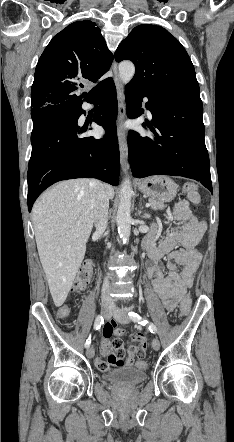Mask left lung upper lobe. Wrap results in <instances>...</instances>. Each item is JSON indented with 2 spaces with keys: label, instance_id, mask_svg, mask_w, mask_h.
I'll list each match as a JSON object with an SVG mask.
<instances>
[{
  "label": "left lung upper lobe",
  "instance_id": "1",
  "mask_svg": "<svg viewBox=\"0 0 234 442\" xmlns=\"http://www.w3.org/2000/svg\"><path fill=\"white\" fill-rule=\"evenodd\" d=\"M135 64L130 85L158 94L200 95L194 66L181 43L160 26L135 27L115 52Z\"/></svg>",
  "mask_w": 234,
  "mask_h": 442
}]
</instances>
